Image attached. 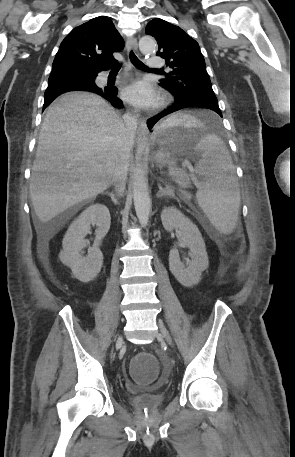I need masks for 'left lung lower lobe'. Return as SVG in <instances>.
<instances>
[{
    "label": "left lung lower lobe",
    "mask_w": 295,
    "mask_h": 457,
    "mask_svg": "<svg viewBox=\"0 0 295 457\" xmlns=\"http://www.w3.org/2000/svg\"><path fill=\"white\" fill-rule=\"evenodd\" d=\"M192 106H201L205 108H209L213 111H215L217 114H219L222 117L221 110L219 109L218 106V101L215 95L211 94H205V95H198V96H190L188 98H183L181 100H175V105L167 109L158 115L150 118L147 121L148 127L152 128V126L162 117L175 112L177 110L187 108V107H192Z\"/></svg>",
    "instance_id": "obj_1"
}]
</instances>
